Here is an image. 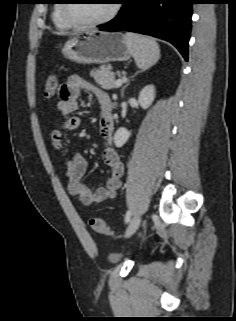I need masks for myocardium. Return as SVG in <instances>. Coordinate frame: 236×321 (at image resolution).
Returning <instances> with one entry per match:
<instances>
[{"instance_id":"1","label":"myocardium","mask_w":236,"mask_h":321,"mask_svg":"<svg viewBox=\"0 0 236 321\" xmlns=\"http://www.w3.org/2000/svg\"><path fill=\"white\" fill-rule=\"evenodd\" d=\"M70 4L71 3H68L67 0L65 1V3L61 4L62 5V7H61L62 15L68 23H70L72 26L79 27V28L97 27V26L104 25V24L110 22L112 19H114L120 9V4L116 0V1H114L110 12L104 18L96 20V21L85 22V21H79V20L75 19L70 14V12H69Z\"/></svg>"}]
</instances>
